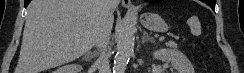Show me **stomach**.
<instances>
[{
	"mask_svg": "<svg viewBox=\"0 0 244 73\" xmlns=\"http://www.w3.org/2000/svg\"><path fill=\"white\" fill-rule=\"evenodd\" d=\"M140 21L150 31L164 33L169 29L168 24L157 13H144L140 16Z\"/></svg>",
	"mask_w": 244,
	"mask_h": 73,
	"instance_id": "stomach-1",
	"label": "stomach"
}]
</instances>
